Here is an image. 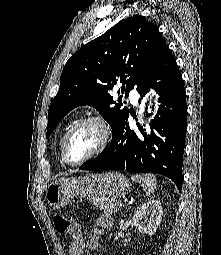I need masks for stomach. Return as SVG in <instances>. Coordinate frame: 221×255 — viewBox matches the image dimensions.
Listing matches in <instances>:
<instances>
[{"label":"stomach","instance_id":"0dacf381","mask_svg":"<svg viewBox=\"0 0 221 255\" xmlns=\"http://www.w3.org/2000/svg\"><path fill=\"white\" fill-rule=\"evenodd\" d=\"M130 190V181L119 172L86 174L81 178L54 180L47 187L46 200L49 206L58 209L77 196L94 202L105 197L117 198Z\"/></svg>","mask_w":221,"mask_h":255}]
</instances>
